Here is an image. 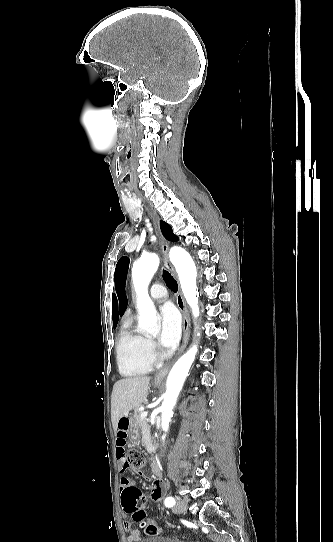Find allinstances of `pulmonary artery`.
I'll list each match as a JSON object with an SVG mask.
<instances>
[{
	"instance_id": "e3ab8cb5",
	"label": "pulmonary artery",
	"mask_w": 333,
	"mask_h": 542,
	"mask_svg": "<svg viewBox=\"0 0 333 542\" xmlns=\"http://www.w3.org/2000/svg\"><path fill=\"white\" fill-rule=\"evenodd\" d=\"M159 284V282H156L149 287L150 297L155 302H163L167 298L166 293H162L163 287Z\"/></svg>"
}]
</instances>
